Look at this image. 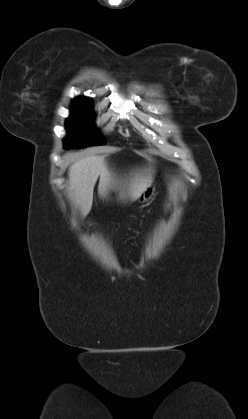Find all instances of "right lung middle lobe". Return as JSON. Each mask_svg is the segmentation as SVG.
<instances>
[{"mask_svg": "<svg viewBox=\"0 0 248 419\" xmlns=\"http://www.w3.org/2000/svg\"><path fill=\"white\" fill-rule=\"evenodd\" d=\"M71 116L66 120L68 137L64 148H81L101 145V140L93 128V108L90 101L75 99L71 106Z\"/></svg>", "mask_w": 248, "mask_h": 419, "instance_id": "obj_1", "label": "right lung middle lobe"}]
</instances>
